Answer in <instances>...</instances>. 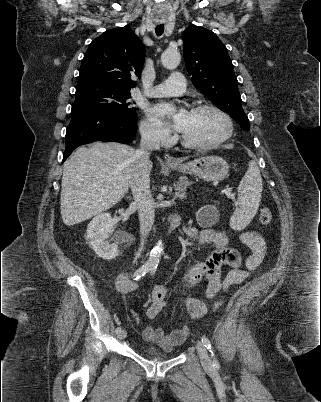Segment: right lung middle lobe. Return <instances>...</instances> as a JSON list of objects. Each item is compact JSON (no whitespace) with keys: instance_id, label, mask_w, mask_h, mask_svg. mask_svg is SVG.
<instances>
[{"instance_id":"dd1d6c3e","label":"right lung middle lobe","mask_w":321,"mask_h":402,"mask_svg":"<svg viewBox=\"0 0 321 402\" xmlns=\"http://www.w3.org/2000/svg\"><path fill=\"white\" fill-rule=\"evenodd\" d=\"M130 92L99 85H77L71 115L88 112L113 116H132L136 109L130 107Z\"/></svg>"}]
</instances>
